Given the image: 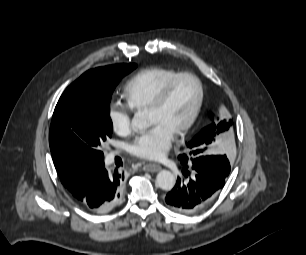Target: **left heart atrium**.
I'll return each mask as SVG.
<instances>
[{"instance_id": "1", "label": "left heart atrium", "mask_w": 306, "mask_h": 255, "mask_svg": "<svg viewBox=\"0 0 306 255\" xmlns=\"http://www.w3.org/2000/svg\"><path fill=\"white\" fill-rule=\"evenodd\" d=\"M173 134L160 124L135 139L130 152L141 159L159 160L164 157L172 144Z\"/></svg>"}]
</instances>
